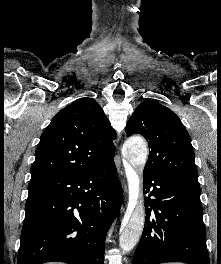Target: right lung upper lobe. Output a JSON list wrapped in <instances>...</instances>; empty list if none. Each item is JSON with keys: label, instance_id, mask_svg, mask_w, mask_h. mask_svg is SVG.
<instances>
[{"label": "right lung upper lobe", "instance_id": "obj_1", "mask_svg": "<svg viewBox=\"0 0 221 264\" xmlns=\"http://www.w3.org/2000/svg\"><path fill=\"white\" fill-rule=\"evenodd\" d=\"M115 137V130L94 99L75 100L54 116L41 135L30 182L105 164L114 157Z\"/></svg>", "mask_w": 221, "mask_h": 264}]
</instances>
